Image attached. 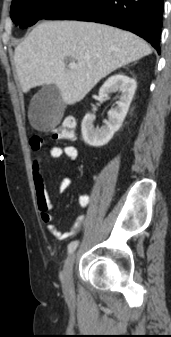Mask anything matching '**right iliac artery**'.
Masks as SVG:
<instances>
[{"label":"right iliac artery","mask_w":171,"mask_h":337,"mask_svg":"<svg viewBox=\"0 0 171 337\" xmlns=\"http://www.w3.org/2000/svg\"><path fill=\"white\" fill-rule=\"evenodd\" d=\"M78 241H73L68 245V253L71 254L78 246Z\"/></svg>","instance_id":"right-iliac-artery-1"}]
</instances>
